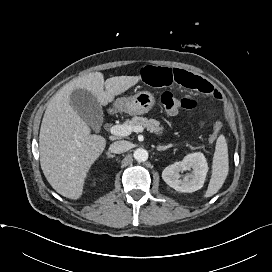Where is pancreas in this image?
<instances>
[{"label": "pancreas", "instance_id": "pancreas-1", "mask_svg": "<svg viewBox=\"0 0 272 272\" xmlns=\"http://www.w3.org/2000/svg\"><path fill=\"white\" fill-rule=\"evenodd\" d=\"M126 125L130 126H142L147 128L148 131L161 135L163 133L164 127L160 125V122L155 119H147L144 117L134 116L132 120H127Z\"/></svg>", "mask_w": 272, "mask_h": 272}]
</instances>
